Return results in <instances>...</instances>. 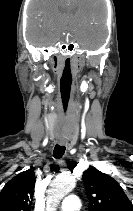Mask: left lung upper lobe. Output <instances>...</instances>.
<instances>
[{
	"instance_id": "left-lung-upper-lobe-1",
	"label": "left lung upper lobe",
	"mask_w": 133,
	"mask_h": 211,
	"mask_svg": "<svg viewBox=\"0 0 133 211\" xmlns=\"http://www.w3.org/2000/svg\"><path fill=\"white\" fill-rule=\"evenodd\" d=\"M82 179L89 199V211H133L132 203L111 176L90 166Z\"/></svg>"
}]
</instances>
